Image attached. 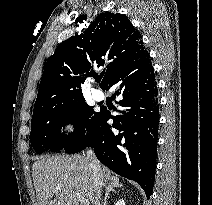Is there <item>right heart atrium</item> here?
Segmentation results:
<instances>
[{
	"label": "right heart atrium",
	"mask_w": 212,
	"mask_h": 205,
	"mask_svg": "<svg viewBox=\"0 0 212 205\" xmlns=\"http://www.w3.org/2000/svg\"><path fill=\"white\" fill-rule=\"evenodd\" d=\"M78 130V125L76 121L69 120L66 121L61 128V137L65 140L73 138Z\"/></svg>",
	"instance_id": "d8ad5b80"
}]
</instances>
